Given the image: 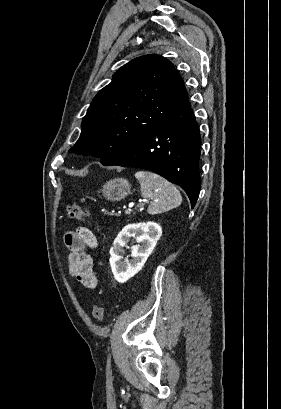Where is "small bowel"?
<instances>
[{
	"label": "small bowel",
	"mask_w": 281,
	"mask_h": 409,
	"mask_svg": "<svg viewBox=\"0 0 281 409\" xmlns=\"http://www.w3.org/2000/svg\"><path fill=\"white\" fill-rule=\"evenodd\" d=\"M64 241L69 249L68 272L86 288H95L98 279L95 271L96 261L91 249L97 247L95 234L87 227L80 226L68 231Z\"/></svg>",
	"instance_id": "1"
}]
</instances>
